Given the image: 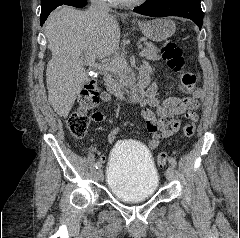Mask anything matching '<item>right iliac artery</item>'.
<instances>
[{"label": "right iliac artery", "mask_w": 240, "mask_h": 238, "mask_svg": "<svg viewBox=\"0 0 240 238\" xmlns=\"http://www.w3.org/2000/svg\"><path fill=\"white\" fill-rule=\"evenodd\" d=\"M101 166H102V164H101V162H99V161H98V162L96 163V165H95L96 169H100Z\"/></svg>", "instance_id": "1"}]
</instances>
